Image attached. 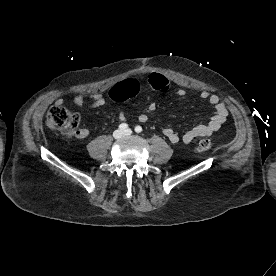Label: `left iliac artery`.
Returning <instances> with one entry per match:
<instances>
[{"label":"left iliac artery","mask_w":276,"mask_h":276,"mask_svg":"<svg viewBox=\"0 0 276 276\" xmlns=\"http://www.w3.org/2000/svg\"><path fill=\"white\" fill-rule=\"evenodd\" d=\"M135 131H136L137 133H140V132L142 131V127H141V126H136V127H135Z\"/></svg>","instance_id":"1"}]
</instances>
